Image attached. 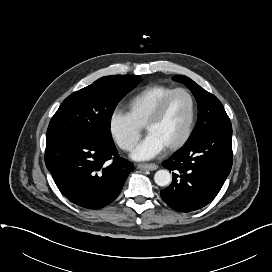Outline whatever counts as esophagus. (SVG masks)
<instances>
[{
  "label": "esophagus",
  "instance_id": "obj_1",
  "mask_svg": "<svg viewBox=\"0 0 272 272\" xmlns=\"http://www.w3.org/2000/svg\"><path fill=\"white\" fill-rule=\"evenodd\" d=\"M137 168L140 170H156L157 165L153 163H150V164L141 163V164H137Z\"/></svg>",
  "mask_w": 272,
  "mask_h": 272
}]
</instances>
